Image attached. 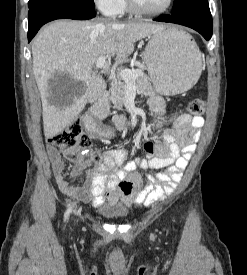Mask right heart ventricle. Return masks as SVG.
<instances>
[{"mask_svg": "<svg viewBox=\"0 0 247 275\" xmlns=\"http://www.w3.org/2000/svg\"><path fill=\"white\" fill-rule=\"evenodd\" d=\"M126 11H128L127 2H126V0H121L120 8H119V12L118 13H123V12H126Z\"/></svg>", "mask_w": 247, "mask_h": 275, "instance_id": "e07e8e85", "label": "right heart ventricle"}]
</instances>
